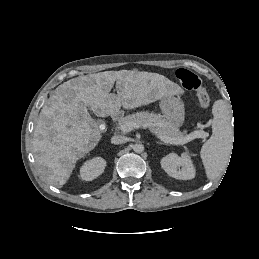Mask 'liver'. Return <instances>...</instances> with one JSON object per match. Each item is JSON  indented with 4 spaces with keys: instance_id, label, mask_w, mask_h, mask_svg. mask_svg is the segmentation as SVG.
I'll use <instances>...</instances> for the list:
<instances>
[{
    "instance_id": "1",
    "label": "liver",
    "mask_w": 259,
    "mask_h": 259,
    "mask_svg": "<svg viewBox=\"0 0 259 259\" xmlns=\"http://www.w3.org/2000/svg\"><path fill=\"white\" fill-rule=\"evenodd\" d=\"M116 81L117 95L110 93ZM181 88L163 75L137 70L105 71L73 78L59 85L42 107L33 134L38 169L51 185L61 188L76 162L102 138L98 117L117 114L177 95Z\"/></svg>"
}]
</instances>
